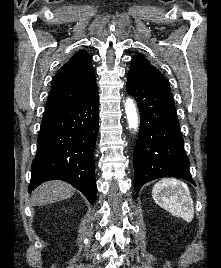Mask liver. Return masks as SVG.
<instances>
[{"instance_id":"liver-1","label":"liver","mask_w":221,"mask_h":268,"mask_svg":"<svg viewBox=\"0 0 221 268\" xmlns=\"http://www.w3.org/2000/svg\"><path fill=\"white\" fill-rule=\"evenodd\" d=\"M75 188L63 181H49L40 185L32 194L31 204L42 206L70 198Z\"/></svg>"}]
</instances>
